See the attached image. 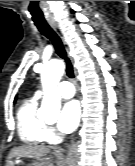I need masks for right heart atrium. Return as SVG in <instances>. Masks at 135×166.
<instances>
[{
    "label": "right heart atrium",
    "instance_id": "right-heart-atrium-1",
    "mask_svg": "<svg viewBox=\"0 0 135 166\" xmlns=\"http://www.w3.org/2000/svg\"><path fill=\"white\" fill-rule=\"evenodd\" d=\"M47 139L48 141L54 142L59 139V136L52 126H47Z\"/></svg>",
    "mask_w": 135,
    "mask_h": 166
}]
</instances>
